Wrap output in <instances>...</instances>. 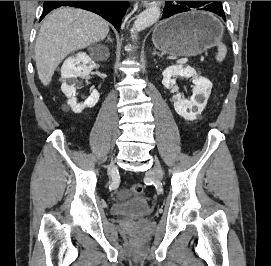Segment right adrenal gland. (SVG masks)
Returning <instances> with one entry per match:
<instances>
[{"label": "right adrenal gland", "instance_id": "2a0ac1e0", "mask_svg": "<svg viewBox=\"0 0 271 266\" xmlns=\"http://www.w3.org/2000/svg\"><path fill=\"white\" fill-rule=\"evenodd\" d=\"M108 41L113 42V40L111 39L110 36H108V38L106 39V42H108Z\"/></svg>", "mask_w": 271, "mask_h": 266}]
</instances>
